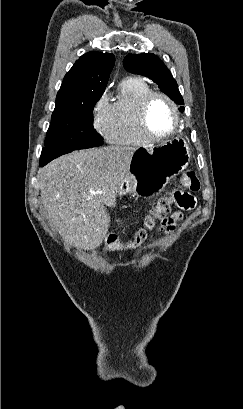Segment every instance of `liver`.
Segmentation results:
<instances>
[{"label":"liver","mask_w":243,"mask_h":409,"mask_svg":"<svg viewBox=\"0 0 243 409\" xmlns=\"http://www.w3.org/2000/svg\"><path fill=\"white\" fill-rule=\"evenodd\" d=\"M134 147L107 146L72 152L39 169L41 203L50 223L76 248L98 247L107 234V207L116 204ZM90 190L101 193L91 195Z\"/></svg>","instance_id":"6515ba94"}]
</instances>
